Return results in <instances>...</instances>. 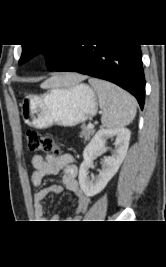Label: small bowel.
<instances>
[{"label": "small bowel", "mask_w": 166, "mask_h": 267, "mask_svg": "<svg viewBox=\"0 0 166 267\" xmlns=\"http://www.w3.org/2000/svg\"><path fill=\"white\" fill-rule=\"evenodd\" d=\"M34 171L31 176L32 183L38 190L34 193V214L36 219L46 218L43 200L50 194H59L68 190L77 198V213L81 217L90 206V197L80 188L78 181V166L69 154L63 155H34L31 160ZM62 172L61 184H51L42 187L46 176L58 175ZM52 222H61L59 216L50 218Z\"/></svg>", "instance_id": "obj_1"}]
</instances>
